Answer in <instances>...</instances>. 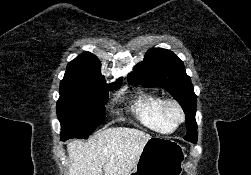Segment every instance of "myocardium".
Masks as SVG:
<instances>
[{"instance_id":"obj_1","label":"myocardium","mask_w":251,"mask_h":175,"mask_svg":"<svg viewBox=\"0 0 251 175\" xmlns=\"http://www.w3.org/2000/svg\"><path fill=\"white\" fill-rule=\"evenodd\" d=\"M171 108H174L178 112V117L173 124V128L176 129L185 122L187 115L183 105L178 100L167 99L163 101L161 106L162 117L166 122H169L171 119L169 114Z\"/></svg>"}]
</instances>
